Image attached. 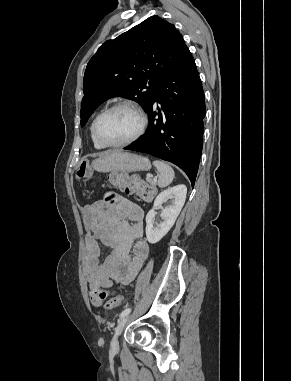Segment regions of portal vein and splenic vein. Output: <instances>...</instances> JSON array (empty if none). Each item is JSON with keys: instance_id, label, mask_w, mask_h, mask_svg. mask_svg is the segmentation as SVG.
Listing matches in <instances>:
<instances>
[{"instance_id": "portal-vein-and-splenic-vein-1", "label": "portal vein and splenic vein", "mask_w": 291, "mask_h": 381, "mask_svg": "<svg viewBox=\"0 0 291 381\" xmlns=\"http://www.w3.org/2000/svg\"><path fill=\"white\" fill-rule=\"evenodd\" d=\"M147 177L151 178L152 176H151V175H148ZM154 180L156 181V178H154Z\"/></svg>"}]
</instances>
